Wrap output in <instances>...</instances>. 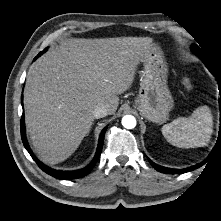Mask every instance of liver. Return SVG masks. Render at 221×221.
<instances>
[{"label":"liver","instance_id":"liver-1","mask_svg":"<svg viewBox=\"0 0 221 221\" xmlns=\"http://www.w3.org/2000/svg\"><path fill=\"white\" fill-rule=\"evenodd\" d=\"M152 38H72L29 69L24 90L25 123L39 159L57 164L89 133L99 104L109 115L119 105L135 71L153 47Z\"/></svg>","mask_w":221,"mask_h":221}]
</instances>
